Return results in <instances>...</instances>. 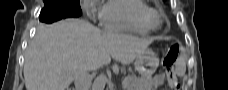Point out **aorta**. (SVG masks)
I'll return each mask as SVG.
<instances>
[{"instance_id": "obj_1", "label": "aorta", "mask_w": 228, "mask_h": 90, "mask_svg": "<svg viewBox=\"0 0 228 90\" xmlns=\"http://www.w3.org/2000/svg\"><path fill=\"white\" fill-rule=\"evenodd\" d=\"M106 82L107 78L105 75L98 76L93 82L92 90H104Z\"/></svg>"}]
</instances>
